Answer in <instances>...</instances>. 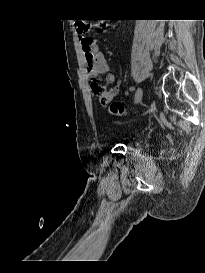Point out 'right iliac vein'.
Wrapping results in <instances>:
<instances>
[{"label": "right iliac vein", "mask_w": 205, "mask_h": 273, "mask_svg": "<svg viewBox=\"0 0 205 273\" xmlns=\"http://www.w3.org/2000/svg\"><path fill=\"white\" fill-rule=\"evenodd\" d=\"M142 97H143V90L141 88H138L134 97L135 103H139Z\"/></svg>", "instance_id": "right-iliac-vein-1"}]
</instances>
